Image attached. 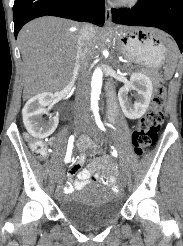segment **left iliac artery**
<instances>
[{"instance_id":"44dca946","label":"left iliac artery","mask_w":183,"mask_h":246,"mask_svg":"<svg viewBox=\"0 0 183 246\" xmlns=\"http://www.w3.org/2000/svg\"><path fill=\"white\" fill-rule=\"evenodd\" d=\"M94 115H95V121H96V124L98 125V127L102 130V131H106L101 119H100V116H99V113H98V110H94ZM112 155L117 158L118 157V153L116 151V149L112 146Z\"/></svg>"}]
</instances>
